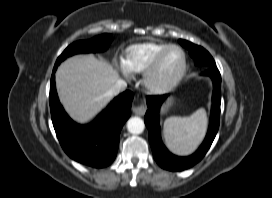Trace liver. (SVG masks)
<instances>
[{
	"label": "liver",
	"instance_id": "6515ba94",
	"mask_svg": "<svg viewBox=\"0 0 272 198\" xmlns=\"http://www.w3.org/2000/svg\"><path fill=\"white\" fill-rule=\"evenodd\" d=\"M120 80L117 70L93 55L65 60L56 72V85L65 110L78 123L91 121L112 100L106 93Z\"/></svg>",
	"mask_w": 272,
	"mask_h": 198
}]
</instances>
